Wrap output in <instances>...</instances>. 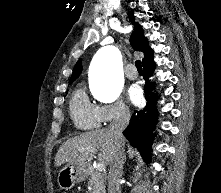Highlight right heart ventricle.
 <instances>
[{"label": "right heart ventricle", "instance_id": "1", "mask_svg": "<svg viewBox=\"0 0 221 193\" xmlns=\"http://www.w3.org/2000/svg\"><path fill=\"white\" fill-rule=\"evenodd\" d=\"M70 114L79 129L89 130L101 125L99 106L91 102L82 89H77L70 100Z\"/></svg>", "mask_w": 221, "mask_h": 193}]
</instances>
